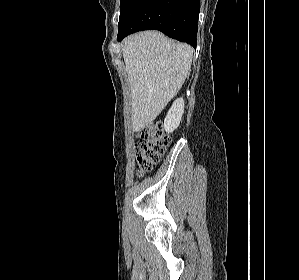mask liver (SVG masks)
I'll use <instances>...</instances> for the list:
<instances>
[{"mask_svg": "<svg viewBox=\"0 0 299 280\" xmlns=\"http://www.w3.org/2000/svg\"><path fill=\"white\" fill-rule=\"evenodd\" d=\"M131 88L132 128L149 125L181 89L190 70L193 49L158 31L127 37L122 45Z\"/></svg>", "mask_w": 299, "mask_h": 280, "instance_id": "1", "label": "liver"}]
</instances>
